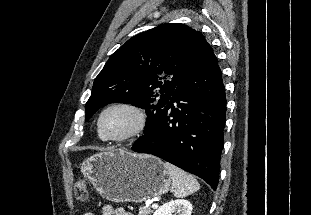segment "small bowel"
I'll return each mask as SVG.
<instances>
[{"instance_id": "small-bowel-1", "label": "small bowel", "mask_w": 311, "mask_h": 215, "mask_svg": "<svg viewBox=\"0 0 311 215\" xmlns=\"http://www.w3.org/2000/svg\"><path fill=\"white\" fill-rule=\"evenodd\" d=\"M83 215H95L92 212H86ZM101 215H133L131 212L125 211L122 208H115L110 204H106L101 209Z\"/></svg>"}]
</instances>
